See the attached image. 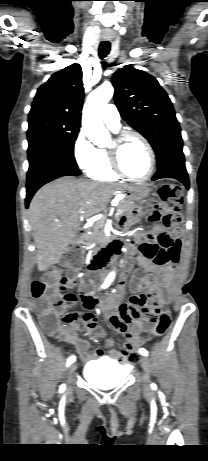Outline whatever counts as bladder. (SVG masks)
<instances>
[{"instance_id": "bladder-1", "label": "bladder", "mask_w": 208, "mask_h": 461, "mask_svg": "<svg viewBox=\"0 0 208 461\" xmlns=\"http://www.w3.org/2000/svg\"><path fill=\"white\" fill-rule=\"evenodd\" d=\"M130 369L107 358L90 361L83 370L84 378L91 384L110 389L126 379Z\"/></svg>"}]
</instances>
